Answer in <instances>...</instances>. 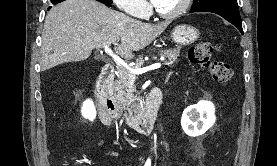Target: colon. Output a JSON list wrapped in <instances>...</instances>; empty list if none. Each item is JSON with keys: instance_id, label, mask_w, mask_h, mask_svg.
Here are the masks:
<instances>
[{"instance_id": "colon-1", "label": "colon", "mask_w": 277, "mask_h": 166, "mask_svg": "<svg viewBox=\"0 0 277 166\" xmlns=\"http://www.w3.org/2000/svg\"><path fill=\"white\" fill-rule=\"evenodd\" d=\"M217 50V45L212 42H199L189 49L188 58L194 65L206 69L215 81L228 84L232 80L233 71L228 63L213 59V53Z\"/></svg>"}]
</instances>
